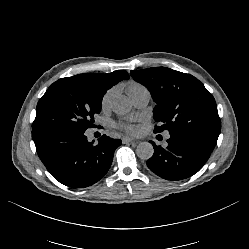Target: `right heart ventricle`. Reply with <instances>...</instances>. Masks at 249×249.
<instances>
[{
    "mask_svg": "<svg viewBox=\"0 0 249 249\" xmlns=\"http://www.w3.org/2000/svg\"><path fill=\"white\" fill-rule=\"evenodd\" d=\"M125 87L130 97L140 92L148 91L144 85L134 80L126 82Z\"/></svg>",
    "mask_w": 249,
    "mask_h": 249,
    "instance_id": "e07e8e85",
    "label": "right heart ventricle"
}]
</instances>
